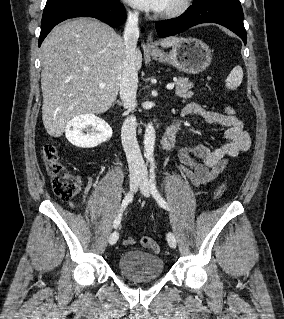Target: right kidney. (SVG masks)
<instances>
[{
	"label": "right kidney",
	"mask_w": 284,
	"mask_h": 319,
	"mask_svg": "<svg viewBox=\"0 0 284 319\" xmlns=\"http://www.w3.org/2000/svg\"><path fill=\"white\" fill-rule=\"evenodd\" d=\"M65 135L77 147L93 148L112 136V128L94 113L80 114L67 123Z\"/></svg>",
	"instance_id": "right-kidney-1"
}]
</instances>
